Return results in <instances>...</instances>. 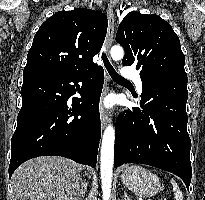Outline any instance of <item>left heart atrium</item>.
<instances>
[{
	"label": "left heart atrium",
	"mask_w": 205,
	"mask_h": 200,
	"mask_svg": "<svg viewBox=\"0 0 205 200\" xmlns=\"http://www.w3.org/2000/svg\"><path fill=\"white\" fill-rule=\"evenodd\" d=\"M113 103H114V99H113L112 96H109V97H107V98H105V99L103 100V104H104L106 107H111V106L113 105Z\"/></svg>",
	"instance_id": "left-heart-atrium-1"
}]
</instances>
